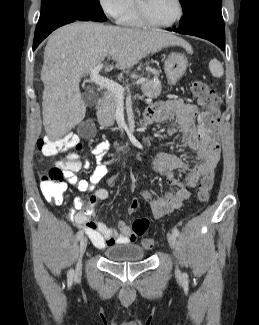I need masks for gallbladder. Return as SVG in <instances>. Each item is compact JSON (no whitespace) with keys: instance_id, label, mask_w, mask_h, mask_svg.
Instances as JSON below:
<instances>
[{"instance_id":"gallbladder-1","label":"gallbladder","mask_w":259,"mask_h":325,"mask_svg":"<svg viewBox=\"0 0 259 325\" xmlns=\"http://www.w3.org/2000/svg\"><path fill=\"white\" fill-rule=\"evenodd\" d=\"M86 106L92 107L97 103L98 96L93 91H86L82 94ZM95 121H82L80 126V136L82 139H95Z\"/></svg>"}]
</instances>
